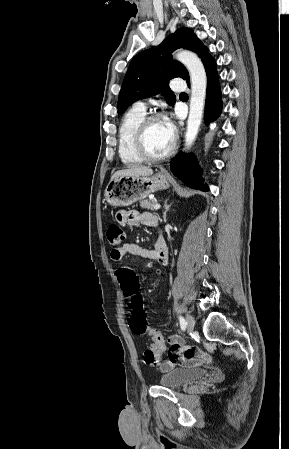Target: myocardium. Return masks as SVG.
Listing matches in <instances>:
<instances>
[{
  "mask_svg": "<svg viewBox=\"0 0 289 449\" xmlns=\"http://www.w3.org/2000/svg\"><path fill=\"white\" fill-rule=\"evenodd\" d=\"M160 120H163V117L160 114L148 115L142 120V122L139 124V126L136 130L135 137H134L135 149H136L137 154L145 161L157 162V161L165 160V159L169 158L176 150L177 136L174 133L172 144H171L170 148L164 154L152 155L148 152L147 147H146V142H145L147 130L153 122L160 121Z\"/></svg>",
  "mask_w": 289,
  "mask_h": 449,
  "instance_id": "1",
  "label": "myocardium"
}]
</instances>
